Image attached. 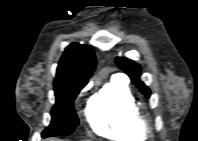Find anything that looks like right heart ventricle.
<instances>
[{
    "label": "right heart ventricle",
    "instance_id": "1",
    "mask_svg": "<svg viewBox=\"0 0 198 141\" xmlns=\"http://www.w3.org/2000/svg\"><path fill=\"white\" fill-rule=\"evenodd\" d=\"M136 109L135 99L127 83L112 78L91 98L85 116L92 130L102 137L136 141L142 138L134 122Z\"/></svg>",
    "mask_w": 198,
    "mask_h": 141
}]
</instances>
